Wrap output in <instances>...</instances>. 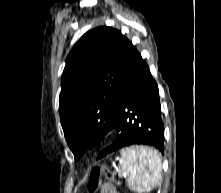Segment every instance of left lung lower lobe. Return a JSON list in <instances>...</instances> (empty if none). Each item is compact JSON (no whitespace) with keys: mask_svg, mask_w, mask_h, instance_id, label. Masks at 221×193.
I'll return each mask as SVG.
<instances>
[{"mask_svg":"<svg viewBox=\"0 0 221 193\" xmlns=\"http://www.w3.org/2000/svg\"><path fill=\"white\" fill-rule=\"evenodd\" d=\"M113 129L115 141L97 159L131 145H149L164 154V125L158 86L138 52L131 61L119 89Z\"/></svg>","mask_w":221,"mask_h":193,"instance_id":"1","label":"left lung lower lobe"}]
</instances>
